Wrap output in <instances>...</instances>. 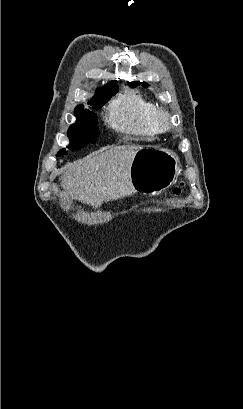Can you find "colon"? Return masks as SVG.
I'll list each match as a JSON object with an SVG mask.
<instances>
[{
	"label": "colon",
	"instance_id": "5ec220e1",
	"mask_svg": "<svg viewBox=\"0 0 243 409\" xmlns=\"http://www.w3.org/2000/svg\"><path fill=\"white\" fill-rule=\"evenodd\" d=\"M183 194V184L180 183L178 186L174 187L172 190L173 196H181Z\"/></svg>",
	"mask_w": 243,
	"mask_h": 409
}]
</instances>
